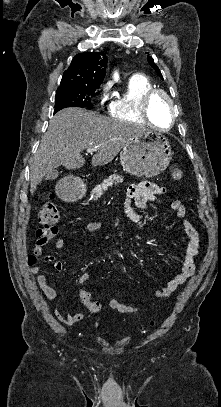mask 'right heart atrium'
<instances>
[{
	"label": "right heart atrium",
	"instance_id": "1",
	"mask_svg": "<svg viewBox=\"0 0 221 407\" xmlns=\"http://www.w3.org/2000/svg\"><path fill=\"white\" fill-rule=\"evenodd\" d=\"M109 90H110V84L109 83L103 84L100 88V93H99L100 99H104Z\"/></svg>",
	"mask_w": 221,
	"mask_h": 407
}]
</instances>
